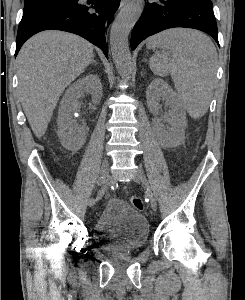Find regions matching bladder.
I'll use <instances>...</instances> for the list:
<instances>
[{"mask_svg": "<svg viewBox=\"0 0 245 300\" xmlns=\"http://www.w3.org/2000/svg\"><path fill=\"white\" fill-rule=\"evenodd\" d=\"M96 241L106 250L127 253L140 249L149 235L147 219L125 201L113 198L93 224Z\"/></svg>", "mask_w": 245, "mask_h": 300, "instance_id": "bladder-1", "label": "bladder"}]
</instances>
